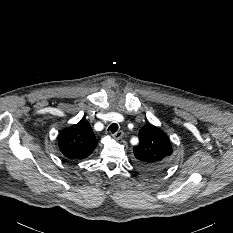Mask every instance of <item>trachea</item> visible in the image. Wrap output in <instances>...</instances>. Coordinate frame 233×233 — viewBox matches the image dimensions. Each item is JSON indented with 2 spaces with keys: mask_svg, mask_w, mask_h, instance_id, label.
<instances>
[{
  "mask_svg": "<svg viewBox=\"0 0 233 233\" xmlns=\"http://www.w3.org/2000/svg\"><path fill=\"white\" fill-rule=\"evenodd\" d=\"M108 130H110L112 133H115L118 130V125L116 123H112Z\"/></svg>",
  "mask_w": 233,
  "mask_h": 233,
  "instance_id": "3493384b",
  "label": "trachea"
}]
</instances>
